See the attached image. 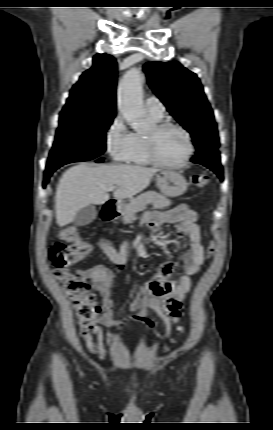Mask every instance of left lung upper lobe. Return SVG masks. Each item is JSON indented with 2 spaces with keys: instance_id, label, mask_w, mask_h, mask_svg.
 <instances>
[{
  "instance_id": "obj_1",
  "label": "left lung upper lobe",
  "mask_w": 273,
  "mask_h": 430,
  "mask_svg": "<svg viewBox=\"0 0 273 430\" xmlns=\"http://www.w3.org/2000/svg\"><path fill=\"white\" fill-rule=\"evenodd\" d=\"M144 71L154 93L192 135L196 153L218 149L216 122L197 75L179 62H149Z\"/></svg>"
}]
</instances>
